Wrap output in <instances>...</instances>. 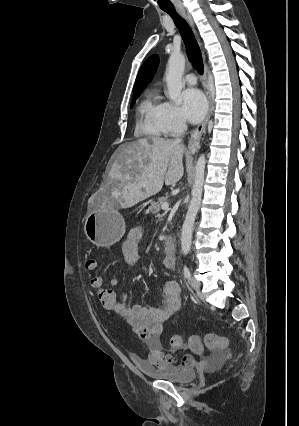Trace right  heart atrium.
Returning <instances> with one entry per match:
<instances>
[{"label":"right heart atrium","instance_id":"d8ad5b80","mask_svg":"<svg viewBox=\"0 0 299 426\" xmlns=\"http://www.w3.org/2000/svg\"><path fill=\"white\" fill-rule=\"evenodd\" d=\"M162 123L167 134L179 133L186 127L180 109L168 101L162 103Z\"/></svg>","mask_w":299,"mask_h":426}]
</instances>
